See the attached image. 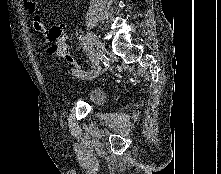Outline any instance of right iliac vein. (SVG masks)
Wrapping results in <instances>:
<instances>
[{"label":"right iliac vein","instance_id":"1","mask_svg":"<svg viewBox=\"0 0 221 174\" xmlns=\"http://www.w3.org/2000/svg\"><path fill=\"white\" fill-rule=\"evenodd\" d=\"M88 37L90 39V54L92 56H97L96 51L101 47V43L97 38L96 34L92 31L88 32Z\"/></svg>","mask_w":221,"mask_h":174}]
</instances>
